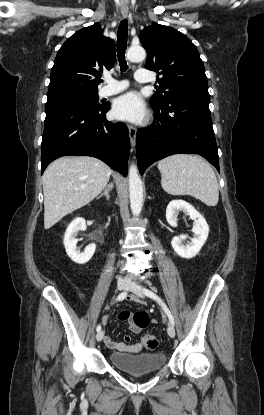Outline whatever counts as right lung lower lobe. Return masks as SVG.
<instances>
[{
	"label": "right lung lower lobe",
	"instance_id": "obj_1",
	"mask_svg": "<svg viewBox=\"0 0 264 415\" xmlns=\"http://www.w3.org/2000/svg\"><path fill=\"white\" fill-rule=\"evenodd\" d=\"M109 105L97 109L62 107L46 111L41 143V172L53 160L66 156L96 157L127 175L129 133L122 122L106 120Z\"/></svg>",
	"mask_w": 264,
	"mask_h": 415
}]
</instances>
